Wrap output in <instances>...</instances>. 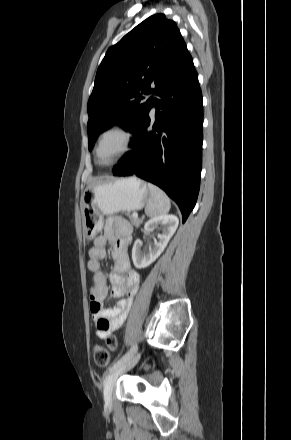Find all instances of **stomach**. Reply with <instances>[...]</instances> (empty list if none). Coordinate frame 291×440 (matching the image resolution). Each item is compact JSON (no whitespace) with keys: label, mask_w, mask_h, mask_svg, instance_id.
Returning a JSON list of instances; mask_svg holds the SVG:
<instances>
[{"label":"stomach","mask_w":291,"mask_h":440,"mask_svg":"<svg viewBox=\"0 0 291 440\" xmlns=\"http://www.w3.org/2000/svg\"><path fill=\"white\" fill-rule=\"evenodd\" d=\"M150 199L147 184L137 177L115 178L89 186L82 196L84 234L94 237L103 216L142 209Z\"/></svg>","instance_id":"obj_1"}]
</instances>
